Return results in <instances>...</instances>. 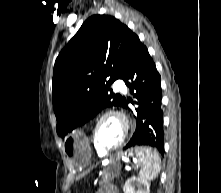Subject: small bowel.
<instances>
[{
    "instance_id": "obj_1",
    "label": "small bowel",
    "mask_w": 221,
    "mask_h": 193,
    "mask_svg": "<svg viewBox=\"0 0 221 193\" xmlns=\"http://www.w3.org/2000/svg\"><path fill=\"white\" fill-rule=\"evenodd\" d=\"M96 193H118V190L114 186L108 185L101 188Z\"/></svg>"
}]
</instances>
